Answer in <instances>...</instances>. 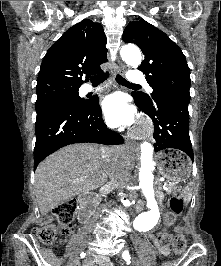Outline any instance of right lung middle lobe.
Here are the masks:
<instances>
[{
    "label": "right lung middle lobe",
    "instance_id": "obj_1",
    "mask_svg": "<svg viewBox=\"0 0 221 266\" xmlns=\"http://www.w3.org/2000/svg\"><path fill=\"white\" fill-rule=\"evenodd\" d=\"M78 90V87L64 85L36 87L37 100L35 103V109L37 115L58 104L69 103L82 105L84 100L79 97Z\"/></svg>",
    "mask_w": 221,
    "mask_h": 266
}]
</instances>
